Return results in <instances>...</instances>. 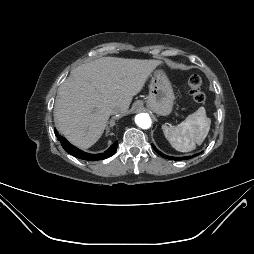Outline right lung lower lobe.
I'll use <instances>...</instances> for the list:
<instances>
[{
  "mask_svg": "<svg viewBox=\"0 0 254 254\" xmlns=\"http://www.w3.org/2000/svg\"><path fill=\"white\" fill-rule=\"evenodd\" d=\"M55 135L57 136V139L60 141L62 147L64 148L66 152H68L69 154L73 155L76 158L83 159V160L96 161V160L106 159L111 157L117 150L118 142H115L104 153L89 154V153L81 151L80 149L70 144L64 137L60 136L56 130H55Z\"/></svg>",
  "mask_w": 254,
  "mask_h": 254,
  "instance_id": "right-lung-lower-lobe-1",
  "label": "right lung lower lobe"
}]
</instances>
